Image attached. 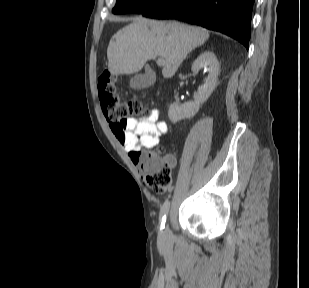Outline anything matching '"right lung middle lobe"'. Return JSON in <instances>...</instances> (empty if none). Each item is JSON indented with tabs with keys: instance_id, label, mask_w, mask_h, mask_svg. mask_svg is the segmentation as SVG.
Returning a JSON list of instances; mask_svg holds the SVG:
<instances>
[{
	"instance_id": "dd1d6c3e",
	"label": "right lung middle lobe",
	"mask_w": 309,
	"mask_h": 288,
	"mask_svg": "<svg viewBox=\"0 0 309 288\" xmlns=\"http://www.w3.org/2000/svg\"><path fill=\"white\" fill-rule=\"evenodd\" d=\"M163 1L164 0H117L113 13L124 14L133 12L142 14Z\"/></svg>"
}]
</instances>
